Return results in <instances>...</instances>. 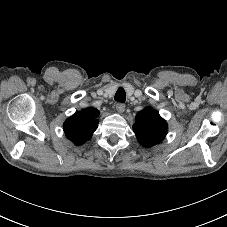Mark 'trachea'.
Listing matches in <instances>:
<instances>
[{
    "mask_svg": "<svg viewBox=\"0 0 227 227\" xmlns=\"http://www.w3.org/2000/svg\"><path fill=\"white\" fill-rule=\"evenodd\" d=\"M114 99L118 102H125L126 100V93H125V90L122 88V87H119L116 94H115V97Z\"/></svg>",
    "mask_w": 227,
    "mask_h": 227,
    "instance_id": "obj_1",
    "label": "trachea"
}]
</instances>
